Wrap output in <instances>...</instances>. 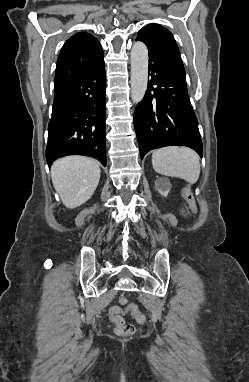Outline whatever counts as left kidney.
<instances>
[{
    "label": "left kidney",
    "instance_id": "left-kidney-1",
    "mask_svg": "<svg viewBox=\"0 0 249 382\" xmlns=\"http://www.w3.org/2000/svg\"><path fill=\"white\" fill-rule=\"evenodd\" d=\"M155 188L162 196L167 197L171 189L170 181L168 179L160 178L155 181Z\"/></svg>",
    "mask_w": 249,
    "mask_h": 382
}]
</instances>
